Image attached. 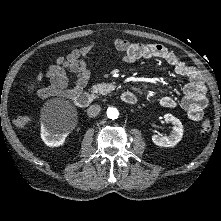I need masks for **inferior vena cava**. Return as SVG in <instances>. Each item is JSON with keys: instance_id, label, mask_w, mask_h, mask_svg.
Segmentation results:
<instances>
[{"instance_id": "obj_1", "label": "inferior vena cava", "mask_w": 221, "mask_h": 221, "mask_svg": "<svg viewBox=\"0 0 221 221\" xmlns=\"http://www.w3.org/2000/svg\"><path fill=\"white\" fill-rule=\"evenodd\" d=\"M100 111H101V106L97 105V104H94V105H91L88 108L87 115L89 117H96L99 114Z\"/></svg>"}]
</instances>
